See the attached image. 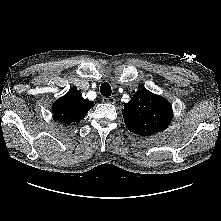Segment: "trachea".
Here are the masks:
<instances>
[{"label":"trachea","mask_w":221,"mask_h":221,"mask_svg":"<svg viewBox=\"0 0 221 221\" xmlns=\"http://www.w3.org/2000/svg\"><path fill=\"white\" fill-rule=\"evenodd\" d=\"M100 92L103 96H106V97L111 96L112 90H111V86L109 85V83L107 82L103 83L100 87Z\"/></svg>","instance_id":"trachea-1"}]
</instances>
